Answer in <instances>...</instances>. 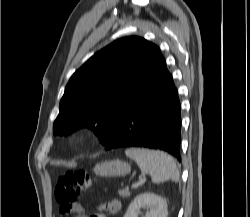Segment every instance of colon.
<instances>
[{
	"label": "colon",
	"mask_w": 250,
	"mask_h": 217,
	"mask_svg": "<svg viewBox=\"0 0 250 217\" xmlns=\"http://www.w3.org/2000/svg\"><path fill=\"white\" fill-rule=\"evenodd\" d=\"M93 184L92 177L85 171H66L59 175L55 185L56 201L62 209H71L79 205L80 197L84 190ZM91 217H103L94 214Z\"/></svg>",
	"instance_id": "obj_1"
}]
</instances>
